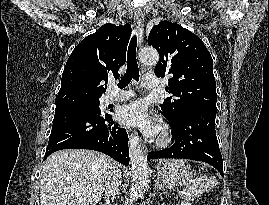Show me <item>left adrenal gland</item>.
Segmentation results:
<instances>
[{
  "instance_id": "left-adrenal-gland-1",
  "label": "left adrenal gland",
  "mask_w": 269,
  "mask_h": 205,
  "mask_svg": "<svg viewBox=\"0 0 269 205\" xmlns=\"http://www.w3.org/2000/svg\"><path fill=\"white\" fill-rule=\"evenodd\" d=\"M155 189L165 191V187L163 184H160L158 180H155Z\"/></svg>"
}]
</instances>
